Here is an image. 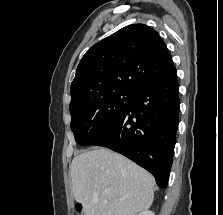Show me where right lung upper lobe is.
Here are the masks:
<instances>
[{
	"label": "right lung upper lobe",
	"instance_id": "cb5924a9",
	"mask_svg": "<svg viewBox=\"0 0 223 215\" xmlns=\"http://www.w3.org/2000/svg\"><path fill=\"white\" fill-rule=\"evenodd\" d=\"M176 74L159 34L144 24L126 26L93 45L71 83L69 109L114 91L137 93Z\"/></svg>",
	"mask_w": 223,
	"mask_h": 215
}]
</instances>
